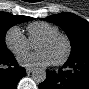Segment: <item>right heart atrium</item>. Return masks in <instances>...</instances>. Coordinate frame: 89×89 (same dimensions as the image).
<instances>
[{
  "label": "right heart atrium",
  "mask_w": 89,
  "mask_h": 89,
  "mask_svg": "<svg viewBox=\"0 0 89 89\" xmlns=\"http://www.w3.org/2000/svg\"><path fill=\"white\" fill-rule=\"evenodd\" d=\"M5 44L7 48L16 56L32 49L33 44L22 33L18 26H12L5 34Z\"/></svg>",
  "instance_id": "obj_1"
}]
</instances>
